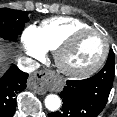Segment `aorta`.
Returning <instances> with one entry per match:
<instances>
[{
    "label": "aorta",
    "mask_w": 117,
    "mask_h": 117,
    "mask_svg": "<svg viewBox=\"0 0 117 117\" xmlns=\"http://www.w3.org/2000/svg\"><path fill=\"white\" fill-rule=\"evenodd\" d=\"M45 107L49 111H57L61 107V99L58 95L49 94L45 98Z\"/></svg>",
    "instance_id": "obj_1"
}]
</instances>
